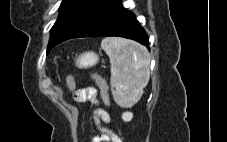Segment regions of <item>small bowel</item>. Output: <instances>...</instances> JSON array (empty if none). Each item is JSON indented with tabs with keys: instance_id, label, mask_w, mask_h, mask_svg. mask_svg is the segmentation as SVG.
I'll list each match as a JSON object with an SVG mask.
<instances>
[{
	"instance_id": "small-bowel-1",
	"label": "small bowel",
	"mask_w": 227,
	"mask_h": 142,
	"mask_svg": "<svg viewBox=\"0 0 227 142\" xmlns=\"http://www.w3.org/2000/svg\"><path fill=\"white\" fill-rule=\"evenodd\" d=\"M96 96L97 89L94 87L77 90L73 95L77 102H86L88 100L96 102ZM93 118L99 134L92 139V142H123L112 130L103 126V124H107L111 120L109 113L105 109L97 107L94 110Z\"/></svg>"
}]
</instances>
